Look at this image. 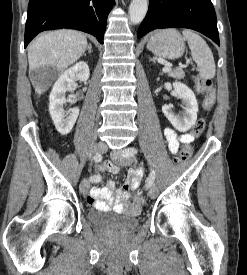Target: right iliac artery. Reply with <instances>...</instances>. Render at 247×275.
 <instances>
[{"instance_id": "82829eb1", "label": "right iliac artery", "mask_w": 247, "mask_h": 275, "mask_svg": "<svg viewBox=\"0 0 247 275\" xmlns=\"http://www.w3.org/2000/svg\"><path fill=\"white\" fill-rule=\"evenodd\" d=\"M101 160H102V156H101L100 154H96V155L94 156V161H95L96 163H99ZM90 180H91V182L98 183V182L101 181V177H100L99 175H92V176L90 177Z\"/></svg>"}]
</instances>
